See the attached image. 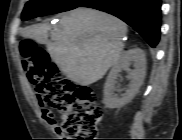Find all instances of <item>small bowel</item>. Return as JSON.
<instances>
[{
	"label": "small bowel",
	"instance_id": "obj_1",
	"mask_svg": "<svg viewBox=\"0 0 182 140\" xmlns=\"http://www.w3.org/2000/svg\"><path fill=\"white\" fill-rule=\"evenodd\" d=\"M39 105L41 107V114H42V117L45 120V122L50 127H52L57 134H61V130H60L59 126H58V123H57V121L55 119V116H54V113L52 112V110L47 108L45 106V103H43L41 101H39Z\"/></svg>",
	"mask_w": 182,
	"mask_h": 140
}]
</instances>
